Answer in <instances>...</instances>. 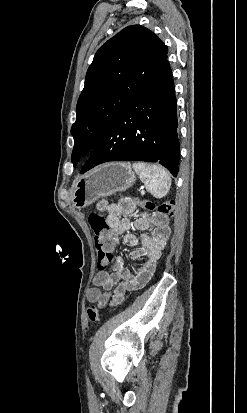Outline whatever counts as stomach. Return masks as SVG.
Returning <instances> with one entry per match:
<instances>
[{
	"instance_id": "0dacf381",
	"label": "stomach",
	"mask_w": 247,
	"mask_h": 413,
	"mask_svg": "<svg viewBox=\"0 0 247 413\" xmlns=\"http://www.w3.org/2000/svg\"><path fill=\"white\" fill-rule=\"evenodd\" d=\"M135 180L136 174L130 162L99 164L89 172L76 176L72 184V207H89V204L102 196H110L117 190H126Z\"/></svg>"
}]
</instances>
